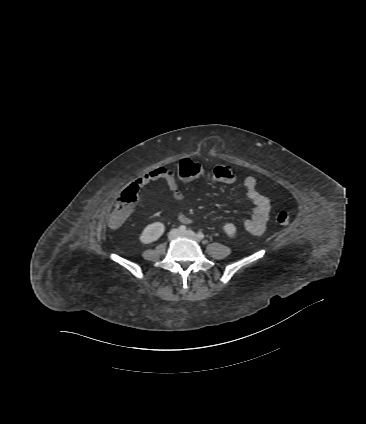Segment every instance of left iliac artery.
<instances>
[{
	"label": "left iliac artery",
	"instance_id": "obj_1",
	"mask_svg": "<svg viewBox=\"0 0 366 424\" xmlns=\"http://www.w3.org/2000/svg\"><path fill=\"white\" fill-rule=\"evenodd\" d=\"M197 237H198L199 239H203V238H204V234H203L202 232H198V233H197Z\"/></svg>",
	"mask_w": 366,
	"mask_h": 424
}]
</instances>
